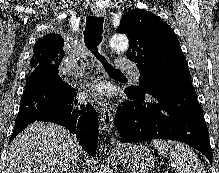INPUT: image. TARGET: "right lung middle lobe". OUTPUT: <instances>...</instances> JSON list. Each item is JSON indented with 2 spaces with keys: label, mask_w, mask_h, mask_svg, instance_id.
<instances>
[{
  "label": "right lung middle lobe",
  "mask_w": 219,
  "mask_h": 173,
  "mask_svg": "<svg viewBox=\"0 0 219 173\" xmlns=\"http://www.w3.org/2000/svg\"><path fill=\"white\" fill-rule=\"evenodd\" d=\"M49 73L57 77L60 81H62L65 85H69L64 81V75L59 70V63H42L38 65H30L29 73L27 77L35 74H45Z\"/></svg>",
  "instance_id": "dd1d6c3e"
}]
</instances>
